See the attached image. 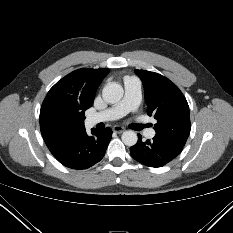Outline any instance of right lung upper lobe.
Wrapping results in <instances>:
<instances>
[{
	"label": "right lung upper lobe",
	"instance_id": "1",
	"mask_svg": "<svg viewBox=\"0 0 233 233\" xmlns=\"http://www.w3.org/2000/svg\"><path fill=\"white\" fill-rule=\"evenodd\" d=\"M108 69L82 68L59 80L46 95L40 110L43 139L52 150L85 130L84 113Z\"/></svg>",
	"mask_w": 233,
	"mask_h": 233
}]
</instances>
